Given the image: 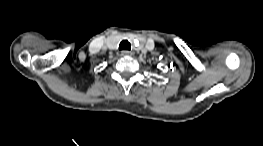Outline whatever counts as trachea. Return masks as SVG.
<instances>
[{
  "instance_id": "1",
  "label": "trachea",
  "mask_w": 263,
  "mask_h": 146,
  "mask_svg": "<svg viewBox=\"0 0 263 146\" xmlns=\"http://www.w3.org/2000/svg\"><path fill=\"white\" fill-rule=\"evenodd\" d=\"M131 44L128 40H123L119 44V50H130Z\"/></svg>"
}]
</instances>
